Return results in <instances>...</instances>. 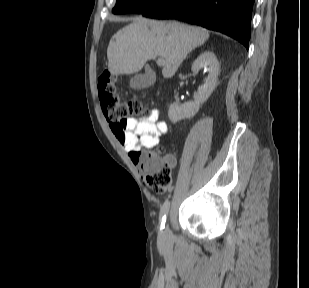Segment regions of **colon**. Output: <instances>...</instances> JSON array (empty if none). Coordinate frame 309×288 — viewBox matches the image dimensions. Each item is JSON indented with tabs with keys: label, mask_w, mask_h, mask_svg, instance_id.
<instances>
[{
	"label": "colon",
	"mask_w": 309,
	"mask_h": 288,
	"mask_svg": "<svg viewBox=\"0 0 309 288\" xmlns=\"http://www.w3.org/2000/svg\"><path fill=\"white\" fill-rule=\"evenodd\" d=\"M97 89L105 117L111 123L124 122L133 115H150V108L137 98L128 101L119 100L117 79L108 70L100 74ZM132 158L149 191L160 193L171 188L173 164L164 154L163 148L138 151L132 155Z\"/></svg>",
	"instance_id": "5ec220e1"
}]
</instances>
